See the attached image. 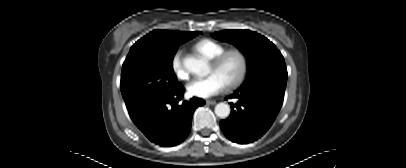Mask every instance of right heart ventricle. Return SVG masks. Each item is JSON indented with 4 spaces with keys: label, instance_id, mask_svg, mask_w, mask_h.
Returning <instances> with one entry per match:
<instances>
[{
    "label": "right heart ventricle",
    "instance_id": "1",
    "mask_svg": "<svg viewBox=\"0 0 406 168\" xmlns=\"http://www.w3.org/2000/svg\"><path fill=\"white\" fill-rule=\"evenodd\" d=\"M194 49L207 59L211 60L222 53L226 48L223 44L211 39H202L194 45Z\"/></svg>",
    "mask_w": 406,
    "mask_h": 168
}]
</instances>
